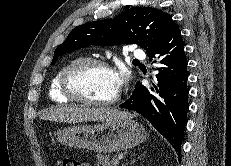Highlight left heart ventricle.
Masks as SVG:
<instances>
[{"mask_svg":"<svg viewBox=\"0 0 231 166\" xmlns=\"http://www.w3.org/2000/svg\"><path fill=\"white\" fill-rule=\"evenodd\" d=\"M72 84L78 93L96 100H110L118 93L114 73L98 66L87 67L76 73Z\"/></svg>","mask_w":231,"mask_h":166,"instance_id":"obj_1","label":"left heart ventricle"}]
</instances>
